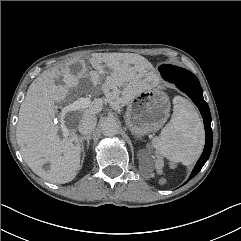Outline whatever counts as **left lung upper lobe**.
Listing matches in <instances>:
<instances>
[{
	"instance_id": "obj_1",
	"label": "left lung upper lobe",
	"mask_w": 241,
	"mask_h": 241,
	"mask_svg": "<svg viewBox=\"0 0 241 241\" xmlns=\"http://www.w3.org/2000/svg\"><path fill=\"white\" fill-rule=\"evenodd\" d=\"M159 70L162 77L165 79L176 81H192L197 79L196 76L190 71L173 65H161Z\"/></svg>"
}]
</instances>
